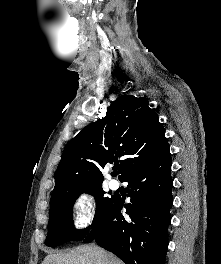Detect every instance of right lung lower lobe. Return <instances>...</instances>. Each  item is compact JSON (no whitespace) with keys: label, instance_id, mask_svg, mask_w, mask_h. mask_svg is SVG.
Listing matches in <instances>:
<instances>
[{"label":"right lung lower lobe","instance_id":"98d812e1","mask_svg":"<svg viewBox=\"0 0 221 264\" xmlns=\"http://www.w3.org/2000/svg\"><path fill=\"white\" fill-rule=\"evenodd\" d=\"M171 156L125 176L130 203L117 197L99 224L83 239L117 255L125 264H165L171 222ZM122 207L126 214L121 213Z\"/></svg>","mask_w":221,"mask_h":264}]
</instances>
